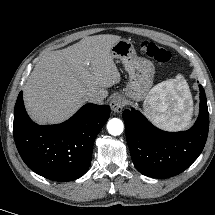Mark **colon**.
<instances>
[{"mask_svg":"<svg viewBox=\"0 0 215 215\" xmlns=\"http://www.w3.org/2000/svg\"><path fill=\"white\" fill-rule=\"evenodd\" d=\"M141 50L158 63H167L171 59V53L167 49L150 41L142 42Z\"/></svg>","mask_w":215,"mask_h":215,"instance_id":"obj_1","label":"colon"}]
</instances>
